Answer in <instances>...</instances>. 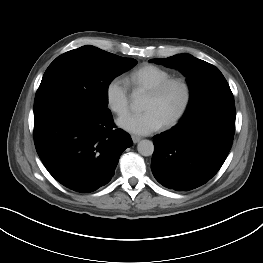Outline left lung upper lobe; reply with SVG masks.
<instances>
[{"mask_svg": "<svg viewBox=\"0 0 263 263\" xmlns=\"http://www.w3.org/2000/svg\"><path fill=\"white\" fill-rule=\"evenodd\" d=\"M150 61L179 69L187 77L190 100L183 117L195 115L214 104L234 103L233 94L226 79L214 65L189 54L151 59Z\"/></svg>", "mask_w": 263, "mask_h": 263, "instance_id": "obj_1", "label": "left lung upper lobe"}]
</instances>
